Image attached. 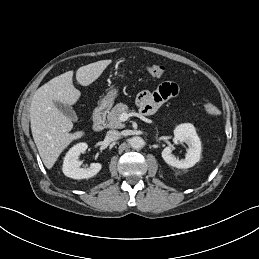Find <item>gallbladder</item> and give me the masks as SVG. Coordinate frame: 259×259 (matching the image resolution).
Segmentation results:
<instances>
[{
	"label": "gallbladder",
	"mask_w": 259,
	"mask_h": 259,
	"mask_svg": "<svg viewBox=\"0 0 259 259\" xmlns=\"http://www.w3.org/2000/svg\"><path fill=\"white\" fill-rule=\"evenodd\" d=\"M55 106L60 110L67 118H69L71 121L77 122L78 117L73 108L69 105H65L59 102L54 103Z\"/></svg>",
	"instance_id": "bac80fb5"
}]
</instances>
